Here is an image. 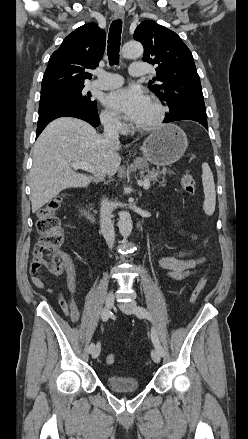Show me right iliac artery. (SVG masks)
Wrapping results in <instances>:
<instances>
[{"label":"right iliac artery","mask_w":248,"mask_h":439,"mask_svg":"<svg viewBox=\"0 0 248 439\" xmlns=\"http://www.w3.org/2000/svg\"><path fill=\"white\" fill-rule=\"evenodd\" d=\"M110 317V313L107 310H103L102 314H101V318L104 322L108 321ZM95 345L94 344H90L88 347V352H92V350L94 349Z\"/></svg>","instance_id":"1"}]
</instances>
